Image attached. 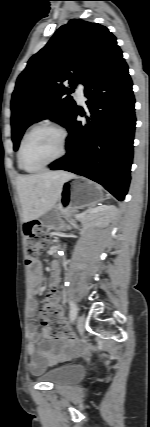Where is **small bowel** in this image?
<instances>
[{"mask_svg": "<svg viewBox=\"0 0 150 427\" xmlns=\"http://www.w3.org/2000/svg\"><path fill=\"white\" fill-rule=\"evenodd\" d=\"M30 283L35 293L43 290V271L40 264H35L29 271ZM52 290H56L59 285L58 264L52 263V275L50 280ZM27 352L30 356V369L33 373L38 374L46 367L52 366L57 362L66 359L71 353L70 346H60L58 341L71 343L69 337H52L47 331H44V338L41 339L37 326L30 323L27 327Z\"/></svg>", "mask_w": 150, "mask_h": 427, "instance_id": "c3829d8e", "label": "small bowel"}]
</instances>
